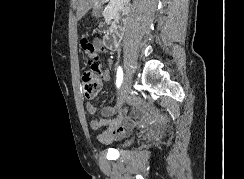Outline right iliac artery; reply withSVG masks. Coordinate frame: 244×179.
Returning a JSON list of instances; mask_svg holds the SVG:
<instances>
[{
    "instance_id": "right-iliac-artery-1",
    "label": "right iliac artery",
    "mask_w": 244,
    "mask_h": 179,
    "mask_svg": "<svg viewBox=\"0 0 244 179\" xmlns=\"http://www.w3.org/2000/svg\"><path fill=\"white\" fill-rule=\"evenodd\" d=\"M123 80V71L122 68L119 66L117 70V80H116V85L119 88L121 86Z\"/></svg>"
}]
</instances>
